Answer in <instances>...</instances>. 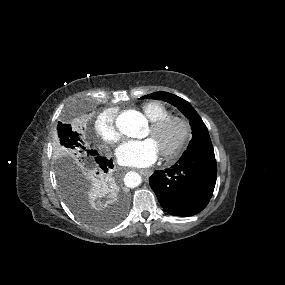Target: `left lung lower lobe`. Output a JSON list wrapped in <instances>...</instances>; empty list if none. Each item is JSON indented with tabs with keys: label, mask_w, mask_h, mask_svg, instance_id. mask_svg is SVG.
<instances>
[{
	"label": "left lung lower lobe",
	"mask_w": 285,
	"mask_h": 285,
	"mask_svg": "<svg viewBox=\"0 0 285 285\" xmlns=\"http://www.w3.org/2000/svg\"><path fill=\"white\" fill-rule=\"evenodd\" d=\"M217 177L213 146L184 153L170 169L156 171L149 183L161 206L171 215L192 216L209 203Z\"/></svg>",
	"instance_id": "obj_1"
}]
</instances>
